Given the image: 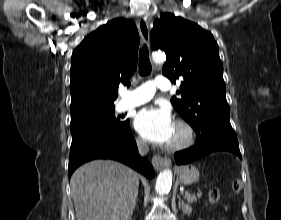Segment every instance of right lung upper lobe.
I'll list each match as a JSON object with an SVG mask.
<instances>
[{"mask_svg":"<svg viewBox=\"0 0 281 220\" xmlns=\"http://www.w3.org/2000/svg\"><path fill=\"white\" fill-rule=\"evenodd\" d=\"M138 46L135 24L123 18L84 38L71 60V119L114 108L119 84L130 85Z\"/></svg>","mask_w":281,"mask_h":220,"instance_id":"1","label":"right lung upper lobe"}]
</instances>
